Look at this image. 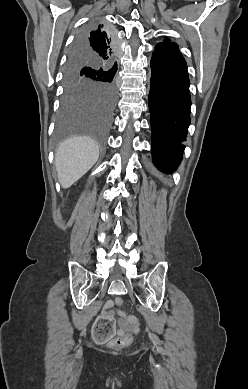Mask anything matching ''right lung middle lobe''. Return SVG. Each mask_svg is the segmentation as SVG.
Here are the masks:
<instances>
[{"label":"right lung middle lobe","mask_w":248,"mask_h":389,"mask_svg":"<svg viewBox=\"0 0 248 389\" xmlns=\"http://www.w3.org/2000/svg\"><path fill=\"white\" fill-rule=\"evenodd\" d=\"M92 21L76 40L99 28ZM75 42V43H76ZM114 68L73 46L65 68V94L58 118L55 141L61 142L76 134H88L105 145L106 129L116 104L117 86Z\"/></svg>","instance_id":"right-lung-middle-lobe-1"}]
</instances>
